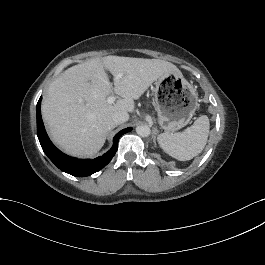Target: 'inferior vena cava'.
Instances as JSON below:
<instances>
[{"label":"inferior vena cava","instance_id":"inferior-vena-cava-1","mask_svg":"<svg viewBox=\"0 0 265 265\" xmlns=\"http://www.w3.org/2000/svg\"><path fill=\"white\" fill-rule=\"evenodd\" d=\"M112 120L115 125L122 124L129 120V114L127 111H116L112 114Z\"/></svg>","mask_w":265,"mask_h":265}]
</instances>
